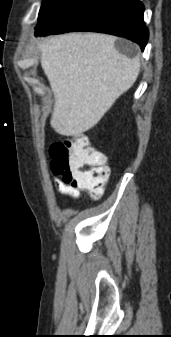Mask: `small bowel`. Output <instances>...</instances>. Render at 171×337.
Segmentation results:
<instances>
[{
  "label": "small bowel",
  "mask_w": 171,
  "mask_h": 337,
  "mask_svg": "<svg viewBox=\"0 0 171 337\" xmlns=\"http://www.w3.org/2000/svg\"><path fill=\"white\" fill-rule=\"evenodd\" d=\"M54 186L56 190L64 195L70 196L73 200H78L80 198V191L77 187L64 183L60 179H54Z\"/></svg>",
  "instance_id": "small-bowel-1"
}]
</instances>
